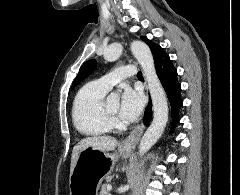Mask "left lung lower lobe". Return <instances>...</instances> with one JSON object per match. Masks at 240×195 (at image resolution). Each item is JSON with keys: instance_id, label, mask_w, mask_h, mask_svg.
<instances>
[{"instance_id": "0a47b994", "label": "left lung lower lobe", "mask_w": 240, "mask_h": 195, "mask_svg": "<svg viewBox=\"0 0 240 195\" xmlns=\"http://www.w3.org/2000/svg\"><path fill=\"white\" fill-rule=\"evenodd\" d=\"M157 76L167 94L171 106L172 126L170 132H173L175 125L179 122V109L182 107L181 85L177 80V70L173 66L169 56L161 58L155 62ZM152 117L151 101L149 102L144 115V124L148 125Z\"/></svg>"}]
</instances>
